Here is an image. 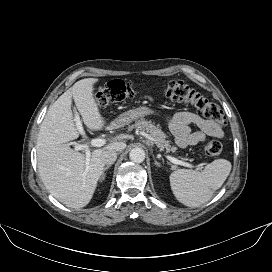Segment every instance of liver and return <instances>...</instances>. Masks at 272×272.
Wrapping results in <instances>:
<instances>
[{
	"instance_id": "liver-1",
	"label": "liver",
	"mask_w": 272,
	"mask_h": 272,
	"mask_svg": "<svg viewBox=\"0 0 272 272\" xmlns=\"http://www.w3.org/2000/svg\"><path fill=\"white\" fill-rule=\"evenodd\" d=\"M97 78L76 82L53 103L40 126L37 137V161L40 177L47 190L70 208H83L91 200L104 170L101 154L104 150L123 151L124 142H112L95 149L87 157L70 148L78 138L72 113V98L84 124L93 131L102 130L105 121L94 98Z\"/></svg>"
}]
</instances>
